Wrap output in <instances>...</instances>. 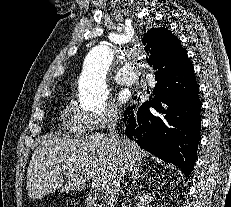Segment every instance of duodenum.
<instances>
[{
  "mask_svg": "<svg viewBox=\"0 0 231 207\" xmlns=\"http://www.w3.org/2000/svg\"><path fill=\"white\" fill-rule=\"evenodd\" d=\"M85 205L86 207H99L98 204L95 202V200L92 198H87ZM101 207H105V206H101Z\"/></svg>",
  "mask_w": 231,
  "mask_h": 207,
  "instance_id": "duodenum-1",
  "label": "duodenum"
}]
</instances>
